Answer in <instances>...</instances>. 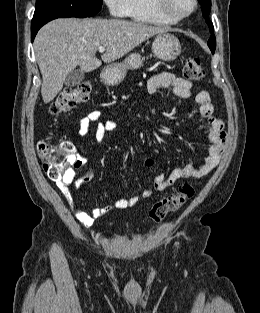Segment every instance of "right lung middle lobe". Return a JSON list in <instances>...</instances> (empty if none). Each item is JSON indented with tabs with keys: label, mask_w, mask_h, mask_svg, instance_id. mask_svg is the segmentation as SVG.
I'll return each instance as SVG.
<instances>
[{
	"label": "right lung middle lobe",
	"mask_w": 260,
	"mask_h": 313,
	"mask_svg": "<svg viewBox=\"0 0 260 313\" xmlns=\"http://www.w3.org/2000/svg\"><path fill=\"white\" fill-rule=\"evenodd\" d=\"M103 0H36L33 18L90 17L96 15Z\"/></svg>",
	"instance_id": "right-lung-middle-lobe-1"
}]
</instances>
